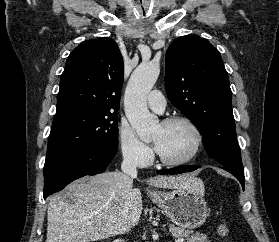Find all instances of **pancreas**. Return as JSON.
Listing matches in <instances>:
<instances>
[{"mask_svg": "<svg viewBox=\"0 0 279 242\" xmlns=\"http://www.w3.org/2000/svg\"><path fill=\"white\" fill-rule=\"evenodd\" d=\"M169 231L173 237L186 238L187 242H209L206 235L195 233L190 236V231L175 227L174 225H169Z\"/></svg>", "mask_w": 279, "mask_h": 242, "instance_id": "pancreas-1", "label": "pancreas"}]
</instances>
